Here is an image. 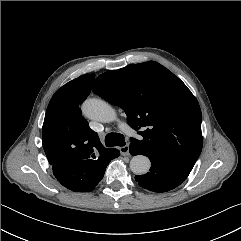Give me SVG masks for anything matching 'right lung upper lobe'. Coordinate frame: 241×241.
Wrapping results in <instances>:
<instances>
[{
  "label": "right lung upper lobe",
  "mask_w": 241,
  "mask_h": 241,
  "mask_svg": "<svg viewBox=\"0 0 241 241\" xmlns=\"http://www.w3.org/2000/svg\"><path fill=\"white\" fill-rule=\"evenodd\" d=\"M94 74L82 75L62 86L51 98L42 128L43 149L49 163L69 160H97L109 156L88 122L80 104L89 95Z\"/></svg>",
  "instance_id": "1"
}]
</instances>
